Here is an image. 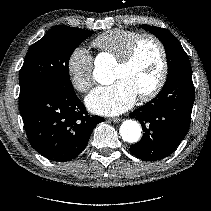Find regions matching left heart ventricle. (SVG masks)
Here are the masks:
<instances>
[{
	"instance_id": "b2bd125f",
	"label": "left heart ventricle",
	"mask_w": 211,
	"mask_h": 211,
	"mask_svg": "<svg viewBox=\"0 0 211 211\" xmlns=\"http://www.w3.org/2000/svg\"><path fill=\"white\" fill-rule=\"evenodd\" d=\"M160 70V51L154 42L145 40L139 46L129 66L116 65L112 80L127 81L135 89L137 95H141L152 89L158 80Z\"/></svg>"
}]
</instances>
